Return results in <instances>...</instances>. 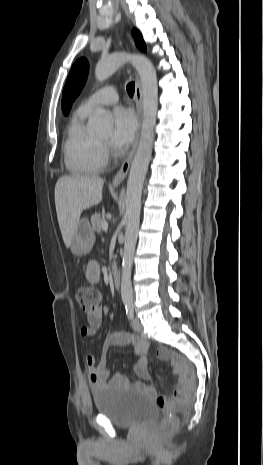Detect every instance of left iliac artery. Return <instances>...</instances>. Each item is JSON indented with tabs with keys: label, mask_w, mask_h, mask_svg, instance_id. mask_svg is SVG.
<instances>
[{
	"label": "left iliac artery",
	"mask_w": 263,
	"mask_h": 465,
	"mask_svg": "<svg viewBox=\"0 0 263 465\" xmlns=\"http://www.w3.org/2000/svg\"><path fill=\"white\" fill-rule=\"evenodd\" d=\"M126 307V314L129 319H132L134 316V305L132 302H126L125 304Z\"/></svg>",
	"instance_id": "obj_1"
}]
</instances>
